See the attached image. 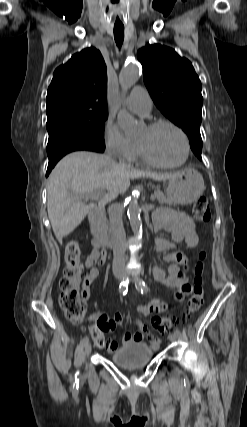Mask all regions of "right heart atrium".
I'll list each match as a JSON object with an SVG mask.
<instances>
[{"instance_id":"d8ad5b80","label":"right heart atrium","mask_w":247,"mask_h":427,"mask_svg":"<svg viewBox=\"0 0 247 427\" xmlns=\"http://www.w3.org/2000/svg\"><path fill=\"white\" fill-rule=\"evenodd\" d=\"M103 141L107 152L111 156L121 160L132 159L136 145L110 119L104 125Z\"/></svg>"}]
</instances>
